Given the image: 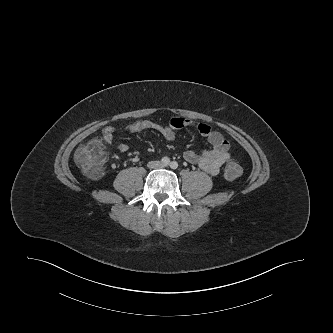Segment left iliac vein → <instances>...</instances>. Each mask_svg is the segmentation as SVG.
<instances>
[{"label":"left iliac vein","mask_w":333,"mask_h":333,"mask_svg":"<svg viewBox=\"0 0 333 333\" xmlns=\"http://www.w3.org/2000/svg\"><path fill=\"white\" fill-rule=\"evenodd\" d=\"M161 167L163 168V167H165L164 165H161Z\"/></svg>","instance_id":"left-iliac-vein-1"}]
</instances>
